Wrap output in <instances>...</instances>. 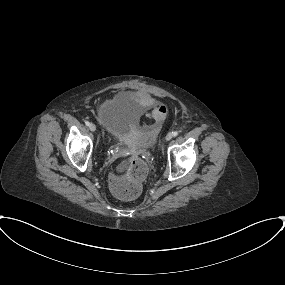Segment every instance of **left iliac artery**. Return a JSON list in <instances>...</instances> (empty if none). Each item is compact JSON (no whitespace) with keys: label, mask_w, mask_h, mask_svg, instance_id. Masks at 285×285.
Instances as JSON below:
<instances>
[{"label":"left iliac artery","mask_w":285,"mask_h":285,"mask_svg":"<svg viewBox=\"0 0 285 285\" xmlns=\"http://www.w3.org/2000/svg\"><path fill=\"white\" fill-rule=\"evenodd\" d=\"M177 135H178V131H174L173 136H177Z\"/></svg>","instance_id":"left-iliac-artery-1"}]
</instances>
